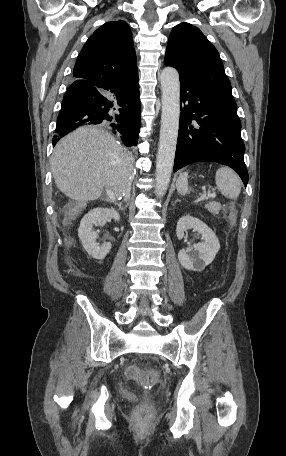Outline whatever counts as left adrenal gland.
<instances>
[{
	"label": "left adrenal gland",
	"instance_id": "left-adrenal-gland-1",
	"mask_svg": "<svg viewBox=\"0 0 286 456\" xmlns=\"http://www.w3.org/2000/svg\"><path fill=\"white\" fill-rule=\"evenodd\" d=\"M178 201H180V200L177 199V200L175 201V204H176V202H178Z\"/></svg>",
	"mask_w": 286,
	"mask_h": 456
}]
</instances>
